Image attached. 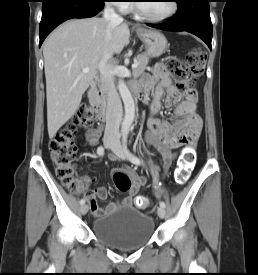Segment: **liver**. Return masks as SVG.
<instances>
[{
	"label": "liver",
	"instance_id": "obj_1",
	"mask_svg": "<svg viewBox=\"0 0 258 275\" xmlns=\"http://www.w3.org/2000/svg\"><path fill=\"white\" fill-rule=\"evenodd\" d=\"M102 18L72 19L46 39L43 46L46 77L47 127L50 138L79 108L82 95L93 81L105 50L119 54L128 44V24ZM89 68L83 72V68Z\"/></svg>",
	"mask_w": 258,
	"mask_h": 275
}]
</instances>
